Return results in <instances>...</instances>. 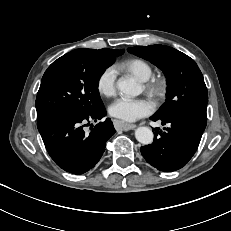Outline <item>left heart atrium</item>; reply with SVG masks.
<instances>
[{"label": "left heart atrium", "mask_w": 231, "mask_h": 231, "mask_svg": "<svg viewBox=\"0 0 231 231\" xmlns=\"http://www.w3.org/2000/svg\"><path fill=\"white\" fill-rule=\"evenodd\" d=\"M153 110L154 104L150 100L128 96L118 98L109 107L112 116L124 121H134L151 114Z\"/></svg>", "instance_id": "39dd6f15"}]
</instances>
